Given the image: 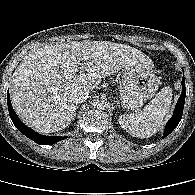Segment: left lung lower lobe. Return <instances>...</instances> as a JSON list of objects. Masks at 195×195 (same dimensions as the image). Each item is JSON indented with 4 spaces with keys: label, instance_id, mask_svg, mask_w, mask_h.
Here are the masks:
<instances>
[{
    "label": "left lung lower lobe",
    "instance_id": "0a47b994",
    "mask_svg": "<svg viewBox=\"0 0 195 195\" xmlns=\"http://www.w3.org/2000/svg\"><path fill=\"white\" fill-rule=\"evenodd\" d=\"M182 86H183V89H182L181 95L176 104L174 114L171 117V119L168 121L165 127L163 138H165L175 129V127L179 124L182 118L183 108H184V103H185V96H186L184 73H183V79H182Z\"/></svg>",
    "mask_w": 195,
    "mask_h": 195
}]
</instances>
